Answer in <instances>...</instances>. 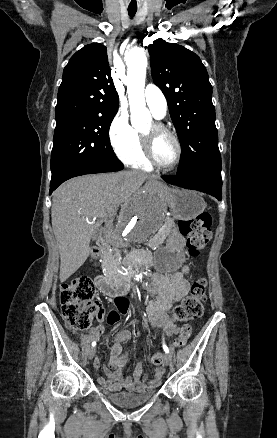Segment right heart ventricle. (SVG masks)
Listing matches in <instances>:
<instances>
[{
    "label": "right heart ventricle",
    "instance_id": "obj_1",
    "mask_svg": "<svg viewBox=\"0 0 277 438\" xmlns=\"http://www.w3.org/2000/svg\"><path fill=\"white\" fill-rule=\"evenodd\" d=\"M136 132V131H135ZM137 135V145L134 153L127 158H124L125 161L129 163V165L134 169H139L145 172H150L153 170V165L147 159L143 145L141 142V138L136 132Z\"/></svg>",
    "mask_w": 277,
    "mask_h": 438
}]
</instances>
